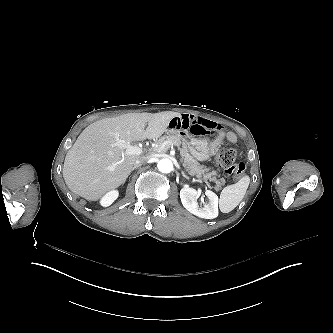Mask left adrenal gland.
I'll return each instance as SVG.
<instances>
[{"label":"left adrenal gland","mask_w":333,"mask_h":333,"mask_svg":"<svg viewBox=\"0 0 333 333\" xmlns=\"http://www.w3.org/2000/svg\"><path fill=\"white\" fill-rule=\"evenodd\" d=\"M181 175H182V177H184L185 179H187V180L189 179V178L184 174L183 171L181 172Z\"/></svg>","instance_id":"obj_1"}]
</instances>
